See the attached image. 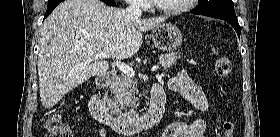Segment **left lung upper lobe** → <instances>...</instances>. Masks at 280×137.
Here are the masks:
<instances>
[{
  "mask_svg": "<svg viewBox=\"0 0 280 137\" xmlns=\"http://www.w3.org/2000/svg\"><path fill=\"white\" fill-rule=\"evenodd\" d=\"M192 12L236 17L232 0H199V5Z\"/></svg>",
  "mask_w": 280,
  "mask_h": 137,
  "instance_id": "1",
  "label": "left lung upper lobe"
}]
</instances>
